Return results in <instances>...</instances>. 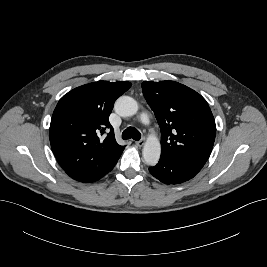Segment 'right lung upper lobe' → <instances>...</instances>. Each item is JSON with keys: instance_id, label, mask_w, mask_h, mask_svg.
I'll use <instances>...</instances> for the list:
<instances>
[{"instance_id": "cb5924a9", "label": "right lung upper lobe", "mask_w": 267, "mask_h": 267, "mask_svg": "<svg viewBox=\"0 0 267 267\" xmlns=\"http://www.w3.org/2000/svg\"><path fill=\"white\" fill-rule=\"evenodd\" d=\"M130 82L97 81L77 87L58 102L50 124L52 151L65 171L97 173L124 150L114 137L109 115ZM108 129L104 140L99 135Z\"/></svg>"}]
</instances>
